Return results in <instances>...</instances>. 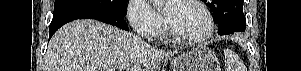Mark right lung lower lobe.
Listing matches in <instances>:
<instances>
[{"label": "right lung lower lobe", "mask_w": 301, "mask_h": 71, "mask_svg": "<svg viewBox=\"0 0 301 71\" xmlns=\"http://www.w3.org/2000/svg\"><path fill=\"white\" fill-rule=\"evenodd\" d=\"M95 19L107 24L117 26L121 29L128 30V25L124 17L113 12L93 8V7H76L54 13L49 28V39L64 24L76 19Z\"/></svg>", "instance_id": "98d812e1"}]
</instances>
